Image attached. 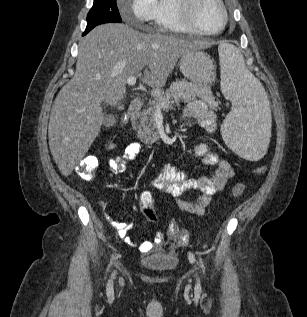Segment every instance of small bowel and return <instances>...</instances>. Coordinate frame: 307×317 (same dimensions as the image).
<instances>
[{
    "label": "small bowel",
    "instance_id": "c3829d8e",
    "mask_svg": "<svg viewBox=\"0 0 307 317\" xmlns=\"http://www.w3.org/2000/svg\"><path fill=\"white\" fill-rule=\"evenodd\" d=\"M184 118H193L210 132H214L217 126L216 115L202 101L190 103L183 112ZM142 146L138 142L127 145L122 153L108 160V168L114 174L125 171L129 161L141 152ZM208 166H215L213 174L209 177L202 176L193 178L185 170L166 166L161 171L154 182V186L167 192L175 198L178 207L193 215L201 216L205 213L206 208L211 202L212 197L220 192L226 185L227 181L234 175V169L228 161L221 160L215 154H208L204 160ZM192 190L198 191V196L193 201L183 199V197ZM105 216L108 222L118 230L120 237H125L127 231L131 228L129 224L120 223L112 220L107 214V206H104ZM125 241L133 245L129 239ZM163 243V236L160 232L152 242L146 241L139 245L142 253H147L154 247L159 248Z\"/></svg>",
    "mask_w": 307,
    "mask_h": 317
}]
</instances>
